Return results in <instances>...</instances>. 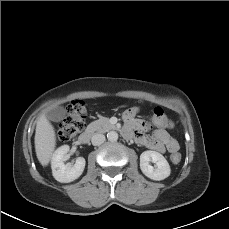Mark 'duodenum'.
I'll return each instance as SVG.
<instances>
[{
  "label": "duodenum",
  "mask_w": 229,
  "mask_h": 229,
  "mask_svg": "<svg viewBox=\"0 0 229 229\" xmlns=\"http://www.w3.org/2000/svg\"><path fill=\"white\" fill-rule=\"evenodd\" d=\"M122 134L124 136L128 135V133L125 130H122ZM93 135H94V129L89 128L79 136L78 143L81 145L88 144L91 141Z\"/></svg>",
  "instance_id": "duodenum-1"
}]
</instances>
